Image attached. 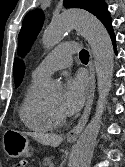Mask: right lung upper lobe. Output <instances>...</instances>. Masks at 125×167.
I'll return each mask as SVG.
<instances>
[{"label": "right lung upper lobe", "instance_id": "obj_1", "mask_svg": "<svg viewBox=\"0 0 125 167\" xmlns=\"http://www.w3.org/2000/svg\"><path fill=\"white\" fill-rule=\"evenodd\" d=\"M24 63L19 61L18 59H15L14 61V81L15 85L19 86L24 75Z\"/></svg>", "mask_w": 125, "mask_h": 167}]
</instances>
